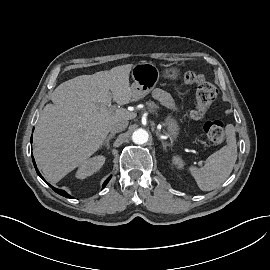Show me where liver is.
Wrapping results in <instances>:
<instances>
[{"instance_id":"obj_1","label":"liver","mask_w":270,"mask_h":270,"mask_svg":"<svg viewBox=\"0 0 270 270\" xmlns=\"http://www.w3.org/2000/svg\"><path fill=\"white\" fill-rule=\"evenodd\" d=\"M132 64L92 75H81L61 83L52 93L34 133L35 160L52 183L79 167L104 143L110 127L137 114L125 108L111 109L133 100L129 83Z\"/></svg>"}]
</instances>
